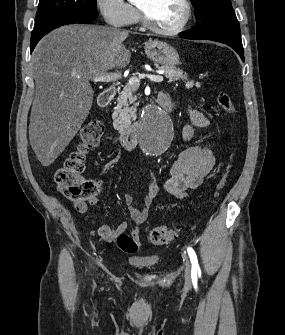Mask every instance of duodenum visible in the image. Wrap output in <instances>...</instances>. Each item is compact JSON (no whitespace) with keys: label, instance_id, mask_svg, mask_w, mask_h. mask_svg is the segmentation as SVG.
I'll return each instance as SVG.
<instances>
[{"label":"duodenum","instance_id":"duodenum-1","mask_svg":"<svg viewBox=\"0 0 285 335\" xmlns=\"http://www.w3.org/2000/svg\"><path fill=\"white\" fill-rule=\"evenodd\" d=\"M116 94V88L110 87L105 89L99 96L98 103L101 107H106L112 101ZM159 103L166 111L173 109V104L169 99H160ZM138 123H133L126 127L117 137L120 144L127 150H132L138 142Z\"/></svg>","mask_w":285,"mask_h":335}]
</instances>
